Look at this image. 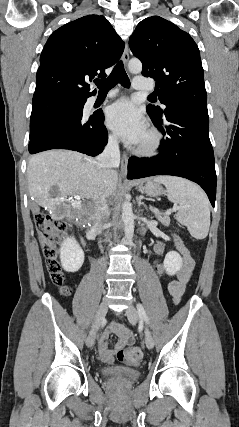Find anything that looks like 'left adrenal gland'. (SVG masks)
I'll return each instance as SVG.
<instances>
[{
	"mask_svg": "<svg viewBox=\"0 0 239 427\" xmlns=\"http://www.w3.org/2000/svg\"><path fill=\"white\" fill-rule=\"evenodd\" d=\"M138 206H144L145 209H147V206L144 204V202H142L141 198L137 197L136 198Z\"/></svg>",
	"mask_w": 239,
	"mask_h": 427,
	"instance_id": "1",
	"label": "left adrenal gland"
}]
</instances>
